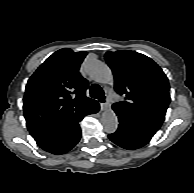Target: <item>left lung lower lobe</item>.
Instances as JSON below:
<instances>
[{"mask_svg": "<svg viewBox=\"0 0 194 193\" xmlns=\"http://www.w3.org/2000/svg\"><path fill=\"white\" fill-rule=\"evenodd\" d=\"M119 126L109 139L124 149H138L146 145L161 127L160 124L140 116L114 108Z\"/></svg>", "mask_w": 194, "mask_h": 193, "instance_id": "obj_1", "label": "left lung lower lobe"}]
</instances>
